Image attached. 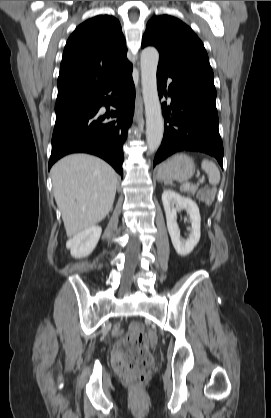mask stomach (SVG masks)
Wrapping results in <instances>:
<instances>
[{
  "mask_svg": "<svg viewBox=\"0 0 271 418\" xmlns=\"http://www.w3.org/2000/svg\"><path fill=\"white\" fill-rule=\"evenodd\" d=\"M194 172L193 159L186 154H176L158 166L156 175L158 180L163 182H185Z\"/></svg>",
  "mask_w": 271,
  "mask_h": 418,
  "instance_id": "1",
  "label": "stomach"
}]
</instances>
